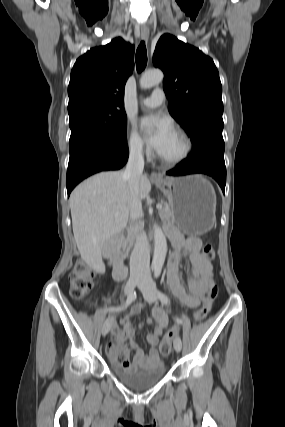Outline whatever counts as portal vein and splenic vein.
<instances>
[{"mask_svg": "<svg viewBox=\"0 0 285 427\" xmlns=\"http://www.w3.org/2000/svg\"><path fill=\"white\" fill-rule=\"evenodd\" d=\"M156 207H157V209H158V210H161V209H162V205H161V204H157V206H156Z\"/></svg>", "mask_w": 285, "mask_h": 427, "instance_id": "portal-vein-and-splenic-vein-1", "label": "portal vein and splenic vein"}]
</instances>
